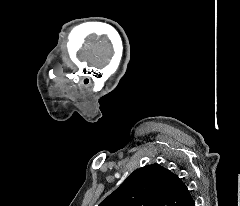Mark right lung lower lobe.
<instances>
[{"label": "right lung lower lobe", "mask_w": 240, "mask_h": 206, "mask_svg": "<svg viewBox=\"0 0 240 206\" xmlns=\"http://www.w3.org/2000/svg\"><path fill=\"white\" fill-rule=\"evenodd\" d=\"M186 206H195L194 200L192 199V201H190Z\"/></svg>", "instance_id": "98d812e1"}]
</instances>
